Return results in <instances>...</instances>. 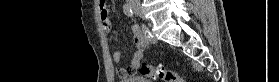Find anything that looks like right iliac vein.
<instances>
[{"mask_svg": "<svg viewBox=\"0 0 279 82\" xmlns=\"http://www.w3.org/2000/svg\"><path fill=\"white\" fill-rule=\"evenodd\" d=\"M129 5L133 8V10H134L137 14H139V15H141V16H144V13H143L141 7L138 6V5H136V4L133 2V0H130V1H129Z\"/></svg>", "mask_w": 279, "mask_h": 82, "instance_id": "right-iliac-vein-1", "label": "right iliac vein"}]
</instances>
